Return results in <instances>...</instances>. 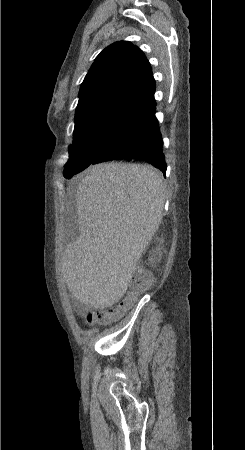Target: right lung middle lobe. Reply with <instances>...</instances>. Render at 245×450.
Returning a JSON list of instances; mask_svg holds the SVG:
<instances>
[{"label":"right lung middle lobe","instance_id":"1","mask_svg":"<svg viewBox=\"0 0 245 450\" xmlns=\"http://www.w3.org/2000/svg\"><path fill=\"white\" fill-rule=\"evenodd\" d=\"M139 112L116 106H94L75 116L73 149L63 176L70 179L100 154L112 151L132 133Z\"/></svg>","mask_w":245,"mask_h":450}]
</instances>
